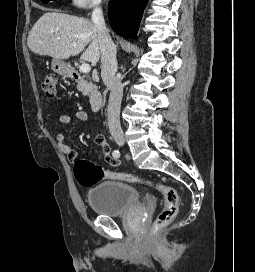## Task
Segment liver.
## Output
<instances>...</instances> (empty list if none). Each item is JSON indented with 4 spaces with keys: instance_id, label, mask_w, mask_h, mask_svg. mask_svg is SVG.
I'll return each instance as SVG.
<instances>
[{
    "instance_id": "liver-1",
    "label": "liver",
    "mask_w": 255,
    "mask_h": 272,
    "mask_svg": "<svg viewBox=\"0 0 255 272\" xmlns=\"http://www.w3.org/2000/svg\"><path fill=\"white\" fill-rule=\"evenodd\" d=\"M27 44L38 55L63 60L81 53V60L95 66L101 56L96 28L88 19L47 12L32 27ZM88 47L85 49V47Z\"/></svg>"
}]
</instances>
